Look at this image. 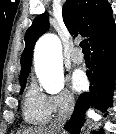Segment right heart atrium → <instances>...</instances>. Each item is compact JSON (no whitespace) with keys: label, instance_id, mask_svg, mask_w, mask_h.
Here are the masks:
<instances>
[{"label":"right heart atrium","instance_id":"obj_1","mask_svg":"<svg viewBox=\"0 0 116 134\" xmlns=\"http://www.w3.org/2000/svg\"><path fill=\"white\" fill-rule=\"evenodd\" d=\"M75 106L74 96L67 90L47 97V107L50 115L70 113Z\"/></svg>","mask_w":116,"mask_h":134}]
</instances>
